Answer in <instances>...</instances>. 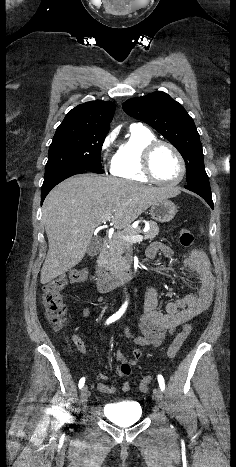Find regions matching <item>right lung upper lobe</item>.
Listing matches in <instances>:
<instances>
[{"mask_svg":"<svg viewBox=\"0 0 236 467\" xmlns=\"http://www.w3.org/2000/svg\"><path fill=\"white\" fill-rule=\"evenodd\" d=\"M114 111L112 102H86L70 110L57 129L108 133Z\"/></svg>","mask_w":236,"mask_h":467,"instance_id":"1","label":"right lung upper lobe"}]
</instances>
